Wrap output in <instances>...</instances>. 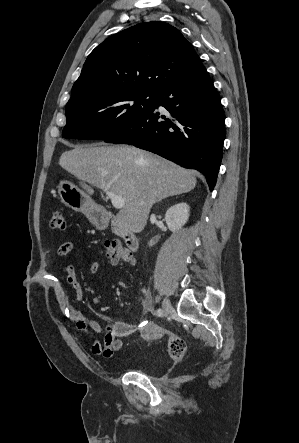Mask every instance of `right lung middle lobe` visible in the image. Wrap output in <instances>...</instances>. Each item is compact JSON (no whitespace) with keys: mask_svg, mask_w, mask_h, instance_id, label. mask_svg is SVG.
<instances>
[{"mask_svg":"<svg viewBox=\"0 0 299 443\" xmlns=\"http://www.w3.org/2000/svg\"><path fill=\"white\" fill-rule=\"evenodd\" d=\"M155 102L153 92L118 91L69 103L62 135L69 139L104 140L150 111Z\"/></svg>","mask_w":299,"mask_h":443,"instance_id":"right-lung-middle-lobe-1","label":"right lung middle lobe"}]
</instances>
